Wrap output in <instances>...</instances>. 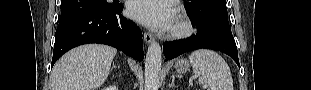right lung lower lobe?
<instances>
[{
	"label": "right lung lower lobe",
	"instance_id": "98d812e1",
	"mask_svg": "<svg viewBox=\"0 0 311 90\" xmlns=\"http://www.w3.org/2000/svg\"><path fill=\"white\" fill-rule=\"evenodd\" d=\"M123 5L111 11L86 12L60 21L55 37L51 66L68 50L87 43L113 46L123 53L143 60L142 32L121 14Z\"/></svg>",
	"mask_w": 311,
	"mask_h": 90
}]
</instances>
